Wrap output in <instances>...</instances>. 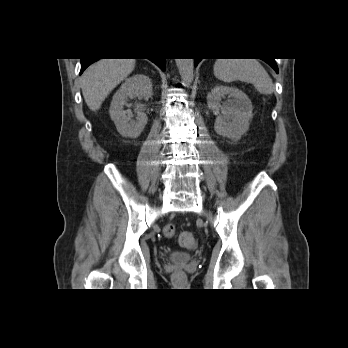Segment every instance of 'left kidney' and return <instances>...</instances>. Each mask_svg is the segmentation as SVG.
Returning a JSON list of instances; mask_svg holds the SVG:
<instances>
[{
    "mask_svg": "<svg viewBox=\"0 0 348 348\" xmlns=\"http://www.w3.org/2000/svg\"><path fill=\"white\" fill-rule=\"evenodd\" d=\"M228 99L223 105L222 99ZM209 109L219 113L215 120L214 129L220 136L239 140L249 129L252 118V103L249 97L235 87L219 85L214 87L207 95Z\"/></svg>",
    "mask_w": 348,
    "mask_h": 348,
    "instance_id": "obj_1",
    "label": "left kidney"
}]
</instances>
